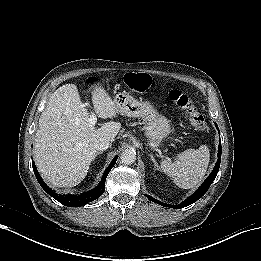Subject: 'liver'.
I'll return each instance as SVG.
<instances>
[{
    "label": "liver",
    "instance_id": "liver-1",
    "mask_svg": "<svg viewBox=\"0 0 261 261\" xmlns=\"http://www.w3.org/2000/svg\"><path fill=\"white\" fill-rule=\"evenodd\" d=\"M92 101L100 118L116 117L118 107L101 87L93 91ZM88 120V109L76 85H63L51 95L39 118L34 145L38 171L50 185H78L95 159L96 141L100 138L113 141L121 129L118 122H106L95 128Z\"/></svg>",
    "mask_w": 261,
    "mask_h": 261
}]
</instances>
